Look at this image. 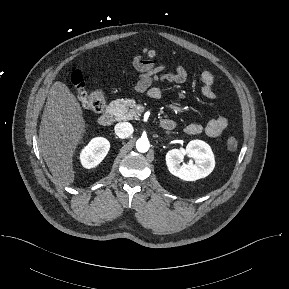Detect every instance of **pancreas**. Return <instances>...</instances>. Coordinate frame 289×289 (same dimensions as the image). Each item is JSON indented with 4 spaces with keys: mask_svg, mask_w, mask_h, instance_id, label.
<instances>
[{
    "mask_svg": "<svg viewBox=\"0 0 289 289\" xmlns=\"http://www.w3.org/2000/svg\"><path fill=\"white\" fill-rule=\"evenodd\" d=\"M110 112L117 121L138 119L139 114L135 110V104L129 99H117L109 105Z\"/></svg>",
    "mask_w": 289,
    "mask_h": 289,
    "instance_id": "1",
    "label": "pancreas"
}]
</instances>
